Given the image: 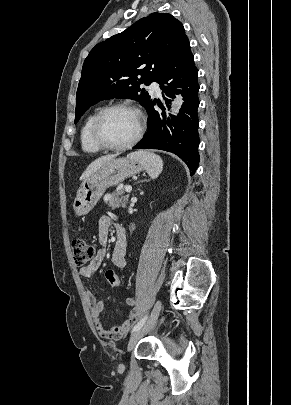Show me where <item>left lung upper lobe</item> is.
<instances>
[{"label": "left lung upper lobe", "instance_id": "1", "mask_svg": "<svg viewBox=\"0 0 291 405\" xmlns=\"http://www.w3.org/2000/svg\"><path fill=\"white\" fill-rule=\"evenodd\" d=\"M186 37L179 20L155 12L97 44L82 67L75 123L90 106L105 99L130 98L147 107L151 97L140 85L156 80Z\"/></svg>", "mask_w": 291, "mask_h": 405}]
</instances>
